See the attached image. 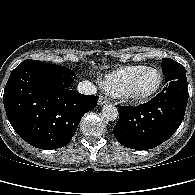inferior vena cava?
<instances>
[{
  "instance_id": "obj_1",
  "label": "inferior vena cava",
  "mask_w": 195,
  "mask_h": 195,
  "mask_svg": "<svg viewBox=\"0 0 195 195\" xmlns=\"http://www.w3.org/2000/svg\"><path fill=\"white\" fill-rule=\"evenodd\" d=\"M77 90L86 95H94L97 92L96 86L88 80L80 82L77 86Z\"/></svg>"
}]
</instances>
